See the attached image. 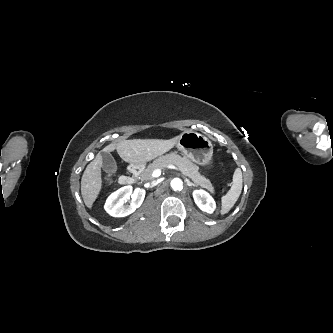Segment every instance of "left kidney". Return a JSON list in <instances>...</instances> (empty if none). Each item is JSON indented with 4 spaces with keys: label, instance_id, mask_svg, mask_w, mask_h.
Masks as SVG:
<instances>
[{
    "label": "left kidney",
    "instance_id": "1",
    "mask_svg": "<svg viewBox=\"0 0 333 333\" xmlns=\"http://www.w3.org/2000/svg\"><path fill=\"white\" fill-rule=\"evenodd\" d=\"M193 198L196 205L204 212L213 213L216 208V203L212 196L204 190L193 191Z\"/></svg>",
    "mask_w": 333,
    "mask_h": 333
}]
</instances>
